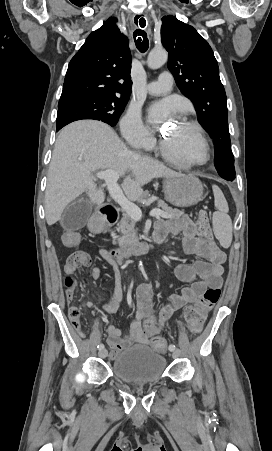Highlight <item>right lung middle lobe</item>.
Returning a JSON list of instances; mask_svg holds the SVG:
<instances>
[{
  "label": "right lung middle lobe",
  "mask_w": 272,
  "mask_h": 451,
  "mask_svg": "<svg viewBox=\"0 0 272 451\" xmlns=\"http://www.w3.org/2000/svg\"><path fill=\"white\" fill-rule=\"evenodd\" d=\"M128 100L117 96H82L60 100L56 128L81 119L101 120L114 126Z\"/></svg>",
  "instance_id": "dd1d6c3e"
}]
</instances>
